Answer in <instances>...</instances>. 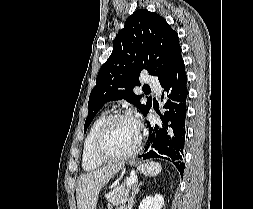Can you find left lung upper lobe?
Masks as SVG:
<instances>
[{"label":"left lung upper lobe","instance_id":"left-lung-upper-lobe-1","mask_svg":"<svg viewBox=\"0 0 253 209\" xmlns=\"http://www.w3.org/2000/svg\"><path fill=\"white\" fill-rule=\"evenodd\" d=\"M182 60L178 34L160 15L137 10L130 15L113 41V51L102 65L96 86L91 91L85 121L86 132L95 115L108 101L126 99L144 116L152 107V98L141 104V96L133 92L140 86L139 75L145 69L159 81Z\"/></svg>","mask_w":253,"mask_h":209}]
</instances>
